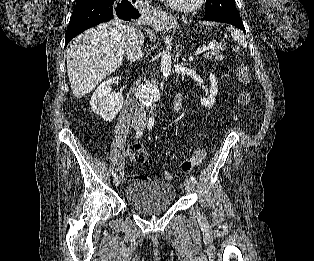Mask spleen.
Here are the masks:
<instances>
[{
  "instance_id": "obj_1",
  "label": "spleen",
  "mask_w": 314,
  "mask_h": 261,
  "mask_svg": "<svg viewBox=\"0 0 314 261\" xmlns=\"http://www.w3.org/2000/svg\"><path fill=\"white\" fill-rule=\"evenodd\" d=\"M228 30L231 32V35L235 41H238V43H240V45L243 48L247 47V42L245 40V37L239 30L234 29L232 27L228 28Z\"/></svg>"
}]
</instances>
